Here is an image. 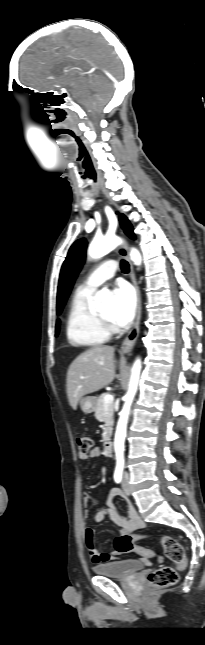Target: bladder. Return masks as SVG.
<instances>
[{
    "label": "bladder",
    "mask_w": 205,
    "mask_h": 645,
    "mask_svg": "<svg viewBox=\"0 0 205 645\" xmlns=\"http://www.w3.org/2000/svg\"><path fill=\"white\" fill-rule=\"evenodd\" d=\"M143 568V562L138 559H124L99 563L93 567V570L96 574L102 576L125 579L141 571Z\"/></svg>",
    "instance_id": "obj_1"
}]
</instances>
